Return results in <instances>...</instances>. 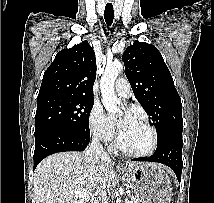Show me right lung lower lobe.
Instances as JSON below:
<instances>
[{
	"mask_svg": "<svg viewBox=\"0 0 214 203\" xmlns=\"http://www.w3.org/2000/svg\"><path fill=\"white\" fill-rule=\"evenodd\" d=\"M90 142V136L73 132L49 129L35 136L34 169L45 157L66 151H83Z\"/></svg>",
	"mask_w": 214,
	"mask_h": 203,
	"instance_id": "right-lung-lower-lobe-1",
	"label": "right lung lower lobe"
}]
</instances>
